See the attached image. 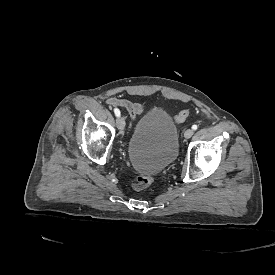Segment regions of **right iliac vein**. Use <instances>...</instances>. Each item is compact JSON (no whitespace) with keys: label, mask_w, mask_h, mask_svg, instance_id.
Instances as JSON below:
<instances>
[{"label":"right iliac vein","mask_w":275,"mask_h":275,"mask_svg":"<svg viewBox=\"0 0 275 275\" xmlns=\"http://www.w3.org/2000/svg\"><path fill=\"white\" fill-rule=\"evenodd\" d=\"M116 123H117V127H118V129L120 131L124 130V128H125V121H124V119L122 117L117 118Z\"/></svg>","instance_id":"right-iliac-vein-1"}]
</instances>
